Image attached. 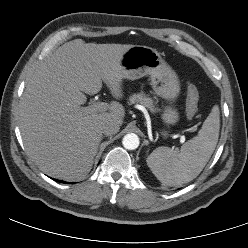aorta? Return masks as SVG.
<instances>
[{"instance_id":"1","label":"aorta","mask_w":248,"mask_h":248,"mask_svg":"<svg viewBox=\"0 0 248 248\" xmlns=\"http://www.w3.org/2000/svg\"><path fill=\"white\" fill-rule=\"evenodd\" d=\"M139 143V137L134 133L126 134L122 140L124 148L128 150H135L138 148Z\"/></svg>"}]
</instances>
